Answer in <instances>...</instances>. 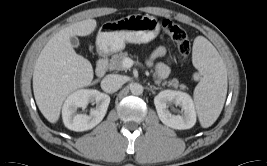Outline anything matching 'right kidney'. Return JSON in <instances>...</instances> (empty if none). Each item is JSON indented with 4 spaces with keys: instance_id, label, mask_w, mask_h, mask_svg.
<instances>
[{
    "instance_id": "obj_1",
    "label": "right kidney",
    "mask_w": 267,
    "mask_h": 166,
    "mask_svg": "<svg viewBox=\"0 0 267 166\" xmlns=\"http://www.w3.org/2000/svg\"><path fill=\"white\" fill-rule=\"evenodd\" d=\"M88 103L96 104L90 115L76 114L78 108H86ZM110 103V97L93 89L77 90L67 97L62 108L65 126L73 131L90 130L104 118Z\"/></svg>"
}]
</instances>
